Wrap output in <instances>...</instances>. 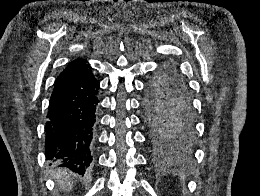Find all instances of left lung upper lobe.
<instances>
[{"label": "left lung upper lobe", "mask_w": 260, "mask_h": 196, "mask_svg": "<svg viewBox=\"0 0 260 196\" xmlns=\"http://www.w3.org/2000/svg\"><path fill=\"white\" fill-rule=\"evenodd\" d=\"M143 111L148 140L156 150H180L195 141L196 117L191 97L174 65L164 66L148 80Z\"/></svg>", "instance_id": "1"}]
</instances>
